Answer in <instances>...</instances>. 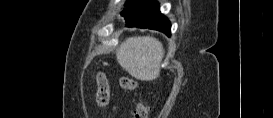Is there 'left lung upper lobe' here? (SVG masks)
<instances>
[{
	"mask_svg": "<svg viewBox=\"0 0 273 118\" xmlns=\"http://www.w3.org/2000/svg\"><path fill=\"white\" fill-rule=\"evenodd\" d=\"M121 12L126 24L141 22L160 12L156 0H128Z\"/></svg>",
	"mask_w": 273,
	"mask_h": 118,
	"instance_id": "obj_1",
	"label": "left lung upper lobe"
}]
</instances>
